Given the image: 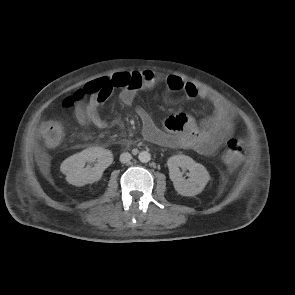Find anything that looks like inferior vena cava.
Instances as JSON below:
<instances>
[{"instance_id":"inferior-vena-cava-1","label":"inferior vena cava","mask_w":295,"mask_h":295,"mask_svg":"<svg viewBox=\"0 0 295 295\" xmlns=\"http://www.w3.org/2000/svg\"><path fill=\"white\" fill-rule=\"evenodd\" d=\"M132 159V156L128 152H124L120 155V162L121 163H127Z\"/></svg>"}]
</instances>
